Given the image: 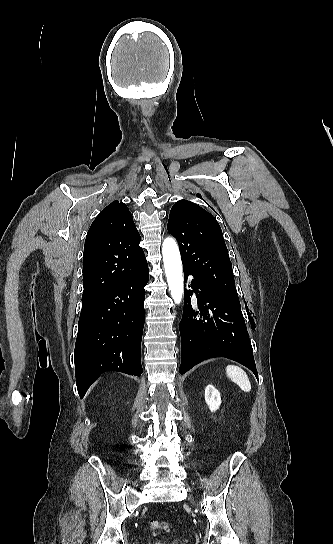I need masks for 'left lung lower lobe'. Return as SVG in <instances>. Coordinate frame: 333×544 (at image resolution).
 Here are the masks:
<instances>
[{
  "mask_svg": "<svg viewBox=\"0 0 333 544\" xmlns=\"http://www.w3.org/2000/svg\"><path fill=\"white\" fill-rule=\"evenodd\" d=\"M184 281L193 275L192 290L184 289V309L179 325L181 366L184 374L196 364L214 357H225L249 368L258 377L253 350L241 307L226 301L206 282L183 266ZM195 293L196 300L191 296ZM252 329L253 322L250 321Z\"/></svg>",
  "mask_w": 333,
  "mask_h": 544,
  "instance_id": "obj_1",
  "label": "left lung lower lobe"
}]
</instances>
